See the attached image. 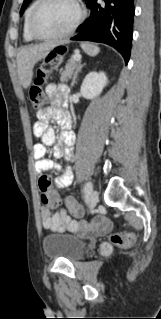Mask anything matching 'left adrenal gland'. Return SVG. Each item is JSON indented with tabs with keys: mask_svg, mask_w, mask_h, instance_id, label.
<instances>
[{
	"mask_svg": "<svg viewBox=\"0 0 161 319\" xmlns=\"http://www.w3.org/2000/svg\"><path fill=\"white\" fill-rule=\"evenodd\" d=\"M85 65L86 64H81V63L79 64V66H78V68H77V70H76V72L74 74V77H73V80H72V83H71V87H73L74 84L76 83L77 75H78L79 72H81L83 66H85Z\"/></svg>",
	"mask_w": 161,
	"mask_h": 319,
	"instance_id": "left-adrenal-gland-1",
	"label": "left adrenal gland"
}]
</instances>
